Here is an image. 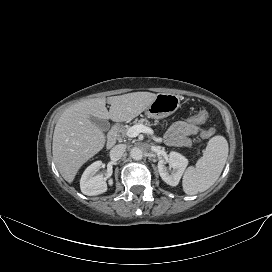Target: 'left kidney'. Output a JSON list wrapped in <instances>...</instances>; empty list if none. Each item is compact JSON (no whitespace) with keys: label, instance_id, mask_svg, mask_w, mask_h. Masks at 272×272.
<instances>
[{"label":"left kidney","instance_id":"1","mask_svg":"<svg viewBox=\"0 0 272 272\" xmlns=\"http://www.w3.org/2000/svg\"><path fill=\"white\" fill-rule=\"evenodd\" d=\"M166 162L169 164L172 171L169 172L165 166ZM188 159L178 152H170L168 160L161 159L158 162V171L162 180L170 186L178 185L186 167Z\"/></svg>","mask_w":272,"mask_h":272}]
</instances>
